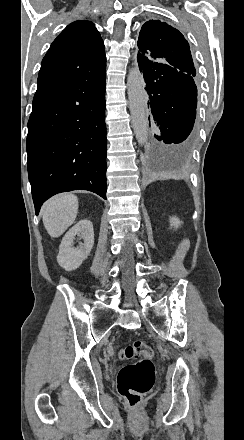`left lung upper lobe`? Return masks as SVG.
Returning <instances> with one entry per match:
<instances>
[{
    "mask_svg": "<svg viewBox=\"0 0 244 440\" xmlns=\"http://www.w3.org/2000/svg\"><path fill=\"white\" fill-rule=\"evenodd\" d=\"M139 65L163 66L195 76L189 43L175 28L160 20H149L138 39Z\"/></svg>",
    "mask_w": 244,
    "mask_h": 440,
    "instance_id": "obj_1",
    "label": "left lung upper lobe"
}]
</instances>
